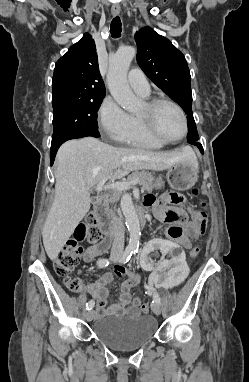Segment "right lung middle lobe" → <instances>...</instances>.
I'll use <instances>...</instances> for the list:
<instances>
[{
  "label": "right lung middle lobe",
  "mask_w": 249,
  "mask_h": 382,
  "mask_svg": "<svg viewBox=\"0 0 249 382\" xmlns=\"http://www.w3.org/2000/svg\"><path fill=\"white\" fill-rule=\"evenodd\" d=\"M103 97L53 106L52 142L76 133H97V110Z\"/></svg>",
  "instance_id": "1"
}]
</instances>
